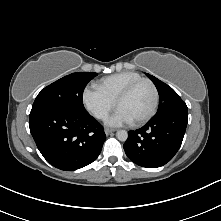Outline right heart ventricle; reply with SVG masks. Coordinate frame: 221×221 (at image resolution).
Returning <instances> with one entry per match:
<instances>
[{
  "mask_svg": "<svg viewBox=\"0 0 221 221\" xmlns=\"http://www.w3.org/2000/svg\"><path fill=\"white\" fill-rule=\"evenodd\" d=\"M143 78L141 74L125 71L102 78L96 87L114 102L120 93L132 82Z\"/></svg>",
  "mask_w": 221,
  "mask_h": 221,
  "instance_id": "1",
  "label": "right heart ventricle"
}]
</instances>
